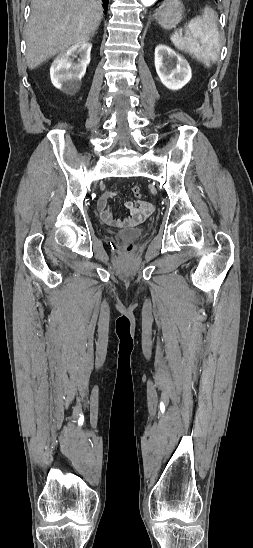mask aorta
Here are the masks:
<instances>
[{
  "label": "aorta",
  "mask_w": 253,
  "mask_h": 548,
  "mask_svg": "<svg viewBox=\"0 0 253 548\" xmlns=\"http://www.w3.org/2000/svg\"><path fill=\"white\" fill-rule=\"evenodd\" d=\"M158 0H141V3L144 5V6H152L154 5Z\"/></svg>",
  "instance_id": "1"
}]
</instances>
